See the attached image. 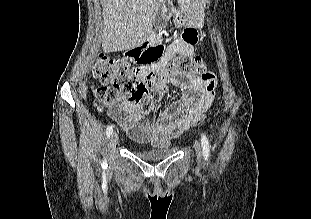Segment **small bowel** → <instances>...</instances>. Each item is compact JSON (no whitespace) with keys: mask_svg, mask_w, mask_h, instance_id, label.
<instances>
[{"mask_svg":"<svg viewBox=\"0 0 311 219\" xmlns=\"http://www.w3.org/2000/svg\"><path fill=\"white\" fill-rule=\"evenodd\" d=\"M192 33L196 37L194 30ZM193 53V42L177 39L154 64L135 69L139 77L149 82L153 91L169 83L183 89L181 97L161 109L157 118L146 117L137 107L127 102L118 106L117 114L107 107L108 115L133 140L166 145L179 138L208 111L215 97V74L209 72L202 77H195L166 68V63L175 55L192 56Z\"/></svg>","mask_w":311,"mask_h":219,"instance_id":"obj_1","label":"small bowel"}]
</instances>
